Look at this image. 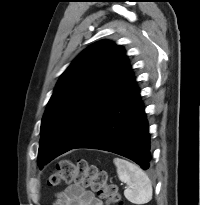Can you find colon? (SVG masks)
<instances>
[{
	"label": "colon",
	"mask_w": 200,
	"mask_h": 205,
	"mask_svg": "<svg viewBox=\"0 0 200 205\" xmlns=\"http://www.w3.org/2000/svg\"><path fill=\"white\" fill-rule=\"evenodd\" d=\"M70 183L90 188L108 204L121 205L118 188L108 181L107 173L84 159L76 163L69 160L60 161L48 179V185L51 187Z\"/></svg>",
	"instance_id": "colon-1"
}]
</instances>
